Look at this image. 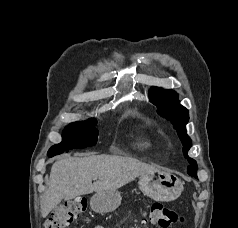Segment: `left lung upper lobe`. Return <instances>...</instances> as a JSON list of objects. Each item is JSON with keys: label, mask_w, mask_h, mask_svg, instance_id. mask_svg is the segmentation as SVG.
<instances>
[{"label": "left lung upper lobe", "mask_w": 238, "mask_h": 228, "mask_svg": "<svg viewBox=\"0 0 238 228\" xmlns=\"http://www.w3.org/2000/svg\"><path fill=\"white\" fill-rule=\"evenodd\" d=\"M150 95L152 96L150 101L156 105L157 112L162 117L170 120L173 123L174 128L177 130V134L183 144L184 156L190 163L187 167V173L191 176L197 177V163L187 155V152L191 147V139L186 134V124L189 119L188 110L180 105L178 94L172 90H161L157 87H152Z\"/></svg>", "instance_id": "obj_1"}]
</instances>
